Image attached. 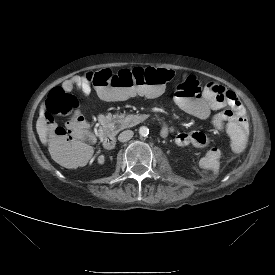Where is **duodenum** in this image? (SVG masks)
Wrapping results in <instances>:
<instances>
[{
    "instance_id": "duodenum-1",
    "label": "duodenum",
    "mask_w": 275,
    "mask_h": 275,
    "mask_svg": "<svg viewBox=\"0 0 275 275\" xmlns=\"http://www.w3.org/2000/svg\"><path fill=\"white\" fill-rule=\"evenodd\" d=\"M101 134L103 136V145L106 149L111 150L115 148L116 138H115V127L112 118H103L101 126ZM164 136V132H161Z\"/></svg>"
}]
</instances>
